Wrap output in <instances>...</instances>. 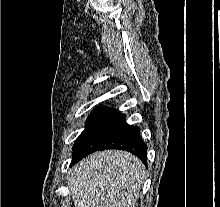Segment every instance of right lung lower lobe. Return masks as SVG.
Segmentation results:
<instances>
[{
  "mask_svg": "<svg viewBox=\"0 0 220 207\" xmlns=\"http://www.w3.org/2000/svg\"><path fill=\"white\" fill-rule=\"evenodd\" d=\"M127 150L147 164V145L142 141L140 129L128 125L125 115L111 107L95 108L87 119L84 131L73 146L70 166L97 150Z\"/></svg>",
  "mask_w": 220,
  "mask_h": 207,
  "instance_id": "obj_1",
  "label": "right lung lower lobe"
}]
</instances>
